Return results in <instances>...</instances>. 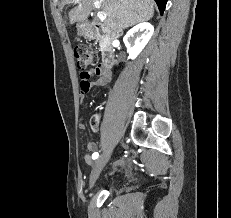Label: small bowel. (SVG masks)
<instances>
[{"mask_svg": "<svg viewBox=\"0 0 231 218\" xmlns=\"http://www.w3.org/2000/svg\"><path fill=\"white\" fill-rule=\"evenodd\" d=\"M92 75H96L98 77L93 82L90 81V77ZM80 78H81V82H80L81 92H82V94H85L90 90L91 87H103V86L107 85L111 80V75L108 71L103 69V65L101 63H98L96 66H91L90 69H82L80 71ZM79 127L81 129H83L85 126H84V124L81 123L79 125ZM91 127H92L93 131H96L97 130V123L96 122L91 123ZM86 149L89 152H94L97 149V145H96V143L91 142V141L87 142ZM92 155L87 153L84 156V160L87 164L92 163V159H93ZM117 164L121 165V166H126L127 161L123 159V160L118 161Z\"/></svg>", "mask_w": 231, "mask_h": 218, "instance_id": "c3829d8e", "label": "small bowel"}]
</instances>
